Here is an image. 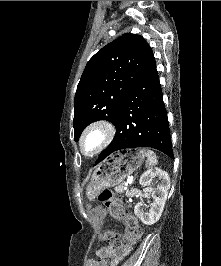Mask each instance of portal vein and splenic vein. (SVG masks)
Wrapping results in <instances>:
<instances>
[{"instance_id": "18ae733b", "label": "portal vein and splenic vein", "mask_w": 221, "mask_h": 266, "mask_svg": "<svg viewBox=\"0 0 221 266\" xmlns=\"http://www.w3.org/2000/svg\"><path fill=\"white\" fill-rule=\"evenodd\" d=\"M129 183H132V180L131 179L130 180H127V182L125 183V186H127ZM125 189H127V187Z\"/></svg>"}]
</instances>
